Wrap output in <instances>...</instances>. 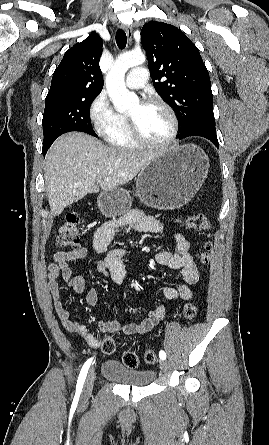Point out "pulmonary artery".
I'll return each instance as SVG.
<instances>
[{
  "label": "pulmonary artery",
  "mask_w": 269,
  "mask_h": 445,
  "mask_svg": "<svg viewBox=\"0 0 269 445\" xmlns=\"http://www.w3.org/2000/svg\"><path fill=\"white\" fill-rule=\"evenodd\" d=\"M148 80V70L145 67L133 68L126 77V85L130 89L142 88Z\"/></svg>",
  "instance_id": "pulmonary-artery-1"
}]
</instances>
